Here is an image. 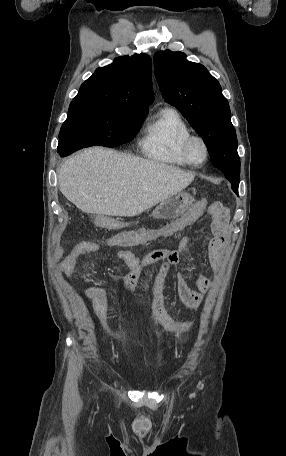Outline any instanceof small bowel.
<instances>
[{
    "mask_svg": "<svg viewBox=\"0 0 286 456\" xmlns=\"http://www.w3.org/2000/svg\"><path fill=\"white\" fill-rule=\"evenodd\" d=\"M205 210L204 203H197L189 208L181 217L160 228H147L138 231H124L108 239V245L112 247H124L146 243L155 239L169 237L184 230L195 222ZM212 223L210 232L203 235V241L207 246L208 262L214 270H220L228 249L229 241L227 237L228 212L220 208L210 209ZM189 239L183 237L178 246L174 249L154 250L143 258H138L132 252L119 249L116 256L129 269V273L124 276L126 294L132 295L135 291L137 282L144 268L160 264L159 270L152 283V310L158 321L165 327V333H174L189 330L192 322H176L166 312L164 285L167 276L173 266H178L183 260V256ZM101 246L93 240H84L75 244L72 249L64 256L59 269L66 280H70L77 262L80 258L100 252ZM64 255V249L59 248L56 258L60 259ZM192 284L199 290H193L183 272L178 270L175 277V288L181 301L190 307H200L204 301V294L211 287V280L200 272H195ZM104 291L101 288L92 287L85 292V300L94 303V315L102 331H108L106 304L102 300ZM162 334L157 335L160 337Z\"/></svg>",
    "mask_w": 286,
    "mask_h": 456,
    "instance_id": "1",
    "label": "small bowel"
}]
</instances>
